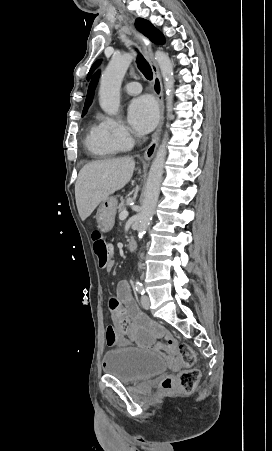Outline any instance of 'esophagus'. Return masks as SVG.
I'll use <instances>...</instances> for the list:
<instances>
[{
  "mask_svg": "<svg viewBox=\"0 0 272 451\" xmlns=\"http://www.w3.org/2000/svg\"><path fill=\"white\" fill-rule=\"evenodd\" d=\"M139 39L144 45L143 48H144L145 56H146L148 62L150 63V67L153 72V92L157 97V100L159 103V109H160V121H159L158 128L155 131V133L153 134L152 141L148 145V147L144 153L145 160L149 161L153 158L156 148L158 146L159 137L161 134L163 121H164L163 86H162L161 75H160L158 65L155 62L154 57H153L151 42L147 38L142 37V36H139Z\"/></svg>",
  "mask_w": 272,
  "mask_h": 451,
  "instance_id": "1",
  "label": "esophagus"
}]
</instances>
